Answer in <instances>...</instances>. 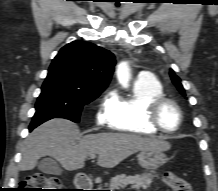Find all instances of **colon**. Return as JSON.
<instances>
[{
  "label": "colon",
  "instance_id": "colon-1",
  "mask_svg": "<svg viewBox=\"0 0 218 191\" xmlns=\"http://www.w3.org/2000/svg\"><path fill=\"white\" fill-rule=\"evenodd\" d=\"M163 180L173 191H193L191 183L172 171H166ZM21 191H65L62 181L53 176L34 174L22 182Z\"/></svg>",
  "mask_w": 218,
  "mask_h": 191
}]
</instances>
